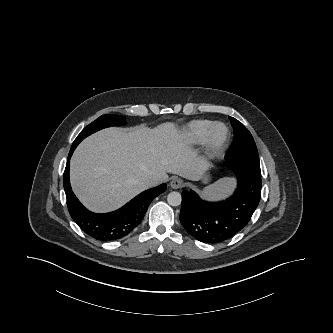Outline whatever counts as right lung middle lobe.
<instances>
[{"label":"right lung middle lobe","instance_id":"1","mask_svg":"<svg viewBox=\"0 0 333 333\" xmlns=\"http://www.w3.org/2000/svg\"><path fill=\"white\" fill-rule=\"evenodd\" d=\"M125 124H126V121L123 116L111 115V114L102 115L99 118H97L95 121H93L91 124L86 126L80 132V134L77 136V138L73 142L72 147L73 146L76 147L84 138H86L87 136L91 135L92 133H94L100 129L110 127V126H121V125H125Z\"/></svg>","mask_w":333,"mask_h":333}]
</instances>
